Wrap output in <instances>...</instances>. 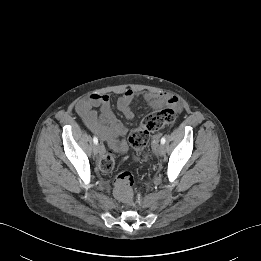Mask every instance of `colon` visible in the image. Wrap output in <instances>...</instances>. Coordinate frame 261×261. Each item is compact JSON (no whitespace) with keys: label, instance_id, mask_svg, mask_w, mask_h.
Segmentation results:
<instances>
[{"label":"colon","instance_id":"5ec220e1","mask_svg":"<svg viewBox=\"0 0 261 261\" xmlns=\"http://www.w3.org/2000/svg\"><path fill=\"white\" fill-rule=\"evenodd\" d=\"M176 111L172 108H165L147 114L141 121L139 127L133 130L128 137L130 145L145 159L152 160L150 150L147 148L150 134L169 125L175 121ZM115 158L112 151L102 155L99 168L103 173L113 170ZM133 176L130 172H121L114 185V193L121 201L130 204L133 201Z\"/></svg>","mask_w":261,"mask_h":261}]
</instances>
